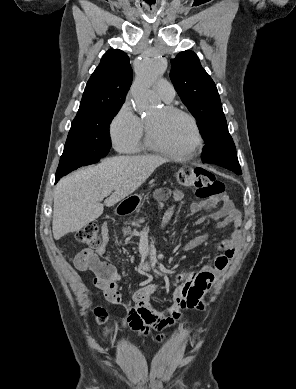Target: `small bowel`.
Returning a JSON list of instances; mask_svg holds the SVG:
<instances>
[{
  "mask_svg": "<svg viewBox=\"0 0 296 389\" xmlns=\"http://www.w3.org/2000/svg\"><path fill=\"white\" fill-rule=\"evenodd\" d=\"M155 196L162 201L169 197L179 203L183 199L182 192L169 188H160ZM211 207L205 202L193 203L190 207L192 212L200 211ZM176 207L168 213L165 223L168 225L173 217ZM211 218L218 221V227L222 228L229 224L233 225L231 237L224 240L219 245L220 253L215 257L213 264H206L199 270L180 274L176 279V284L171 291L170 297L173 303L171 316L164 317L158 315L151 307V298L157 290L155 285L149 284L138 288L132 296L134 305L128 310L125 325L142 336H149L155 332V340L162 343L167 339V331L173 328L177 322L182 320L183 312L193 308H202V297L210 290L216 278L228 266L230 259L234 256L238 247L243 241L241 217L234 205L224 197L222 206ZM204 219H200L202 222ZM103 242L95 251L85 249L75 257V265L79 270H90L94 273L93 283L100 289L106 300L114 305L120 304L121 294L117 288V282L124 277L123 269L102 260L109 243L108 227L102 228ZM207 238L200 235L184 245V249H191ZM78 258L85 260L84 264L78 263Z\"/></svg>",
  "mask_w": 296,
  "mask_h": 389,
  "instance_id": "1",
  "label": "small bowel"
}]
</instances>
